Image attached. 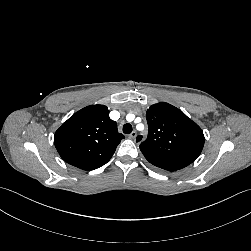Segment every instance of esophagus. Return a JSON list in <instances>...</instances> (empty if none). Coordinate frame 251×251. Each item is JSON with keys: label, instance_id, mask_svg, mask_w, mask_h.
Segmentation results:
<instances>
[{"label": "esophagus", "instance_id": "1", "mask_svg": "<svg viewBox=\"0 0 251 251\" xmlns=\"http://www.w3.org/2000/svg\"><path fill=\"white\" fill-rule=\"evenodd\" d=\"M136 136H137V132H136V131H132V132L128 135V137H129L130 139H134V138H136Z\"/></svg>", "mask_w": 251, "mask_h": 251}]
</instances>
